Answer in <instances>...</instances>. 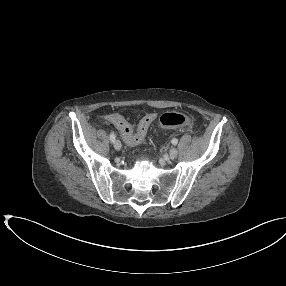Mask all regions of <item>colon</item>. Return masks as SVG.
I'll list each match as a JSON object with an SVG mask.
<instances>
[{
  "label": "colon",
  "instance_id": "1",
  "mask_svg": "<svg viewBox=\"0 0 286 286\" xmlns=\"http://www.w3.org/2000/svg\"><path fill=\"white\" fill-rule=\"evenodd\" d=\"M191 123V119L189 116L179 112H169L164 113L159 118V125L162 128H179L188 126ZM148 121L141 122L133 137L129 139V145H138L142 143L146 137V134L149 129Z\"/></svg>",
  "mask_w": 286,
  "mask_h": 286
}]
</instances>
